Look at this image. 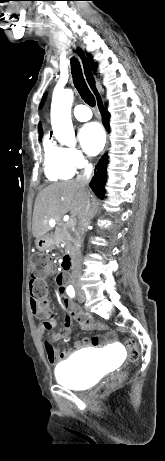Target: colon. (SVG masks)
Here are the masks:
<instances>
[{
	"mask_svg": "<svg viewBox=\"0 0 165 461\" xmlns=\"http://www.w3.org/2000/svg\"><path fill=\"white\" fill-rule=\"evenodd\" d=\"M53 275H55V269L49 258L44 255H36L32 259L30 282L31 296L36 303L46 311L49 310V307L47 302V286L45 280ZM127 347L130 360L133 362L137 361L139 358V350L136 342L133 339H129L127 341ZM124 377V373L112 376L106 382L105 389L112 390L116 388Z\"/></svg>",
	"mask_w": 165,
	"mask_h": 461,
	"instance_id": "5ec220e1",
	"label": "colon"
}]
</instances>
